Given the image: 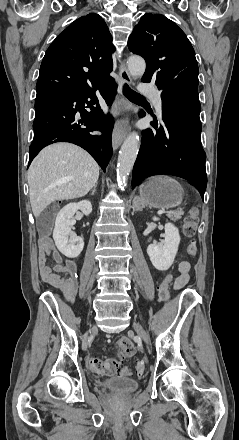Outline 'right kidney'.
Listing matches in <instances>:
<instances>
[{
    "label": "right kidney",
    "instance_id": "ca27d5eb",
    "mask_svg": "<svg viewBox=\"0 0 239 440\" xmlns=\"http://www.w3.org/2000/svg\"><path fill=\"white\" fill-rule=\"evenodd\" d=\"M77 210H81L85 216H89L92 212V204L88 200H82L77 204H67L58 212L55 220L53 240H55L56 247L60 248L62 257L78 258L84 248L82 238L71 232V228L76 224L73 216Z\"/></svg>",
    "mask_w": 239,
    "mask_h": 440
}]
</instances>
